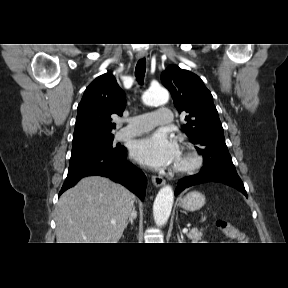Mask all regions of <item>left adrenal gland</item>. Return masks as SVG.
Returning <instances> with one entry per match:
<instances>
[{"label": "left adrenal gland", "mask_w": 288, "mask_h": 288, "mask_svg": "<svg viewBox=\"0 0 288 288\" xmlns=\"http://www.w3.org/2000/svg\"><path fill=\"white\" fill-rule=\"evenodd\" d=\"M177 238H178V241L181 243L182 242L181 240H183V236H181V239H180V236L177 235Z\"/></svg>", "instance_id": "left-adrenal-gland-1"}]
</instances>
